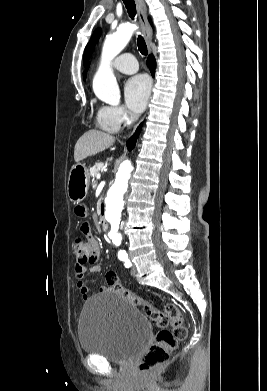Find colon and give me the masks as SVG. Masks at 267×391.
Returning <instances> with one entry per match:
<instances>
[{"mask_svg": "<svg viewBox=\"0 0 267 391\" xmlns=\"http://www.w3.org/2000/svg\"><path fill=\"white\" fill-rule=\"evenodd\" d=\"M72 249L78 266L92 265L97 260L98 248L93 239L78 237L74 240ZM106 283L110 290L133 305L142 307L145 315L159 328L154 343L145 352L139 364L140 372L147 376L164 365L178 343L186 337L187 329L183 316L174 304H167L164 310H159L146 299L126 289L120 283L115 271L107 272ZM169 325L170 330L167 329Z\"/></svg>", "mask_w": 267, "mask_h": 391, "instance_id": "1", "label": "colon"}]
</instances>
